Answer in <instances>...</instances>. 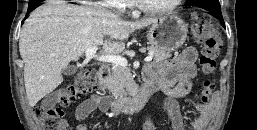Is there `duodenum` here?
<instances>
[{"mask_svg": "<svg viewBox=\"0 0 257 130\" xmlns=\"http://www.w3.org/2000/svg\"><path fill=\"white\" fill-rule=\"evenodd\" d=\"M110 70L107 66H102L98 70V77L100 81V92L105 93L106 82ZM158 83L152 79H145V83L140 87L138 92L132 97L114 100L108 103V108L111 112L119 115L123 113H132L142 109L149 101L150 97L158 90Z\"/></svg>", "mask_w": 257, "mask_h": 130, "instance_id": "obj_1", "label": "duodenum"}]
</instances>
